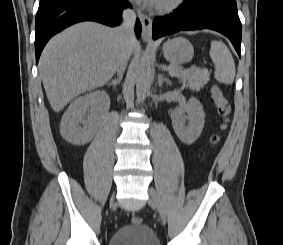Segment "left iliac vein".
<instances>
[{"mask_svg":"<svg viewBox=\"0 0 283 245\" xmlns=\"http://www.w3.org/2000/svg\"><path fill=\"white\" fill-rule=\"evenodd\" d=\"M148 194H149L150 204H152L157 209V212H158V215H159V220L162 223H165L166 222V214H165L164 207L162 205V202L160 200V197H159L157 191L154 188L150 187L148 189Z\"/></svg>","mask_w":283,"mask_h":245,"instance_id":"1","label":"left iliac vein"}]
</instances>
